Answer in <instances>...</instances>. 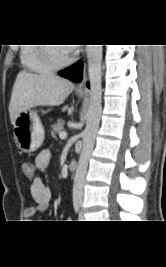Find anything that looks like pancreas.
<instances>
[{
    "mask_svg": "<svg viewBox=\"0 0 166 267\" xmlns=\"http://www.w3.org/2000/svg\"><path fill=\"white\" fill-rule=\"evenodd\" d=\"M64 129V121L59 119L56 124L51 126V134L56 138V134L62 132Z\"/></svg>",
    "mask_w": 166,
    "mask_h": 267,
    "instance_id": "cf45deb5",
    "label": "pancreas"
}]
</instances>
